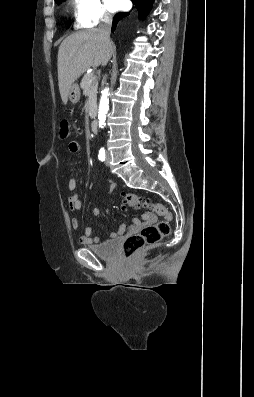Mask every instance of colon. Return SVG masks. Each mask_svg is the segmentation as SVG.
I'll return each instance as SVG.
<instances>
[{
	"label": "colon",
	"instance_id": "obj_1",
	"mask_svg": "<svg viewBox=\"0 0 254 397\" xmlns=\"http://www.w3.org/2000/svg\"><path fill=\"white\" fill-rule=\"evenodd\" d=\"M70 135V127L66 120L59 124V138L67 139ZM123 203L133 208H143L148 212L156 213L163 217V220L141 229L139 233L128 236L123 244V254L126 258L135 255L145 246L153 245L162 238L169 235L171 231V212L162 204L153 202L147 197L134 193H124L122 195Z\"/></svg>",
	"mask_w": 254,
	"mask_h": 397
}]
</instances>
